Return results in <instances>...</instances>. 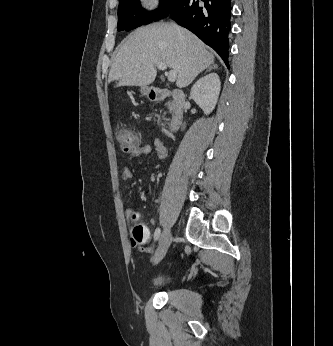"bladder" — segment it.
Listing matches in <instances>:
<instances>
[{"label": "bladder", "instance_id": "31cf9c89", "mask_svg": "<svg viewBox=\"0 0 333 346\" xmlns=\"http://www.w3.org/2000/svg\"><path fill=\"white\" fill-rule=\"evenodd\" d=\"M171 281L172 276L170 274L159 275L152 280L150 287L155 290L162 289L167 287Z\"/></svg>", "mask_w": 333, "mask_h": 346}]
</instances>
